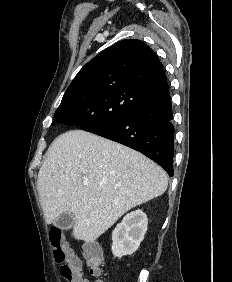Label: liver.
Returning <instances> with one entry per match:
<instances>
[{"instance_id":"liver-1","label":"liver","mask_w":232,"mask_h":282,"mask_svg":"<svg viewBox=\"0 0 232 282\" xmlns=\"http://www.w3.org/2000/svg\"><path fill=\"white\" fill-rule=\"evenodd\" d=\"M167 186L165 171L146 156L84 130H69L52 142L37 179L46 223L73 213L72 234L86 243Z\"/></svg>"}]
</instances>
